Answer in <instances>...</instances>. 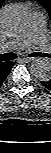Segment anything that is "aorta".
<instances>
[{
    "label": "aorta",
    "mask_w": 51,
    "mask_h": 153,
    "mask_svg": "<svg viewBox=\"0 0 51 153\" xmlns=\"http://www.w3.org/2000/svg\"><path fill=\"white\" fill-rule=\"evenodd\" d=\"M1 25L5 33L14 35L22 33L28 26V14L19 5H8L1 13ZM31 73L40 81L51 79V62L47 58H36L31 64Z\"/></svg>",
    "instance_id": "obj_1"
}]
</instances>
